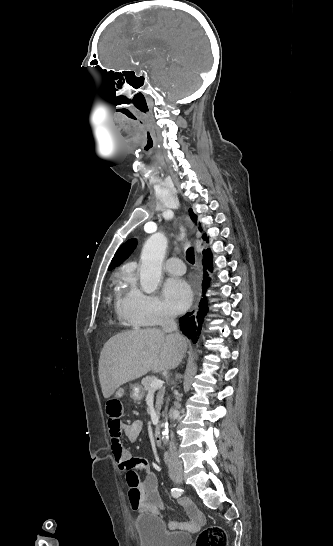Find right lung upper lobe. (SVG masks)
<instances>
[{
    "label": "right lung upper lobe",
    "instance_id": "right-lung-upper-lobe-1",
    "mask_svg": "<svg viewBox=\"0 0 333 546\" xmlns=\"http://www.w3.org/2000/svg\"><path fill=\"white\" fill-rule=\"evenodd\" d=\"M189 214L191 219L194 220V222H196L197 217L193 213L192 209L189 210ZM205 237H206V234L203 235V239H205ZM136 244H137L136 239H130L126 243L122 244L117 250V252L115 253L112 259L111 265L109 267V270L120 265L125 259H127L129 255L131 254V252L135 249Z\"/></svg>",
    "mask_w": 333,
    "mask_h": 546
}]
</instances>
